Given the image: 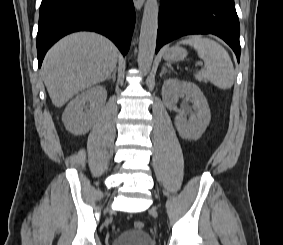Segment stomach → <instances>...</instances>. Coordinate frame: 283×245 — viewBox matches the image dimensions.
Here are the masks:
<instances>
[{"instance_id":"stomach-1","label":"stomach","mask_w":283,"mask_h":245,"mask_svg":"<svg viewBox=\"0 0 283 245\" xmlns=\"http://www.w3.org/2000/svg\"><path fill=\"white\" fill-rule=\"evenodd\" d=\"M186 55L187 52L185 49L176 46L165 50L164 59L166 61H181L186 57Z\"/></svg>"}]
</instances>
